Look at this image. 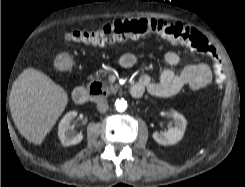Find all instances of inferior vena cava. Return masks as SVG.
<instances>
[{"instance_id": "1", "label": "inferior vena cava", "mask_w": 245, "mask_h": 187, "mask_svg": "<svg viewBox=\"0 0 245 187\" xmlns=\"http://www.w3.org/2000/svg\"><path fill=\"white\" fill-rule=\"evenodd\" d=\"M97 109L99 112L104 113L109 109L107 100H101L97 104Z\"/></svg>"}]
</instances>
